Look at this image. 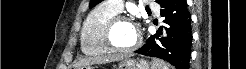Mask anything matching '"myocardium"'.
Masks as SVG:
<instances>
[{"mask_svg":"<svg viewBox=\"0 0 246 69\" xmlns=\"http://www.w3.org/2000/svg\"><path fill=\"white\" fill-rule=\"evenodd\" d=\"M122 21H131V20H130V18H128L125 15L116 14L115 16H113L108 21L107 26L105 28L104 40H105L107 47L113 52L133 51V50L137 49L141 44V36L138 34L136 42L129 47H118V46L114 45V43L111 40L112 33H113L116 25Z\"/></svg>","mask_w":246,"mask_h":69,"instance_id":"myocardium-1","label":"myocardium"}]
</instances>
